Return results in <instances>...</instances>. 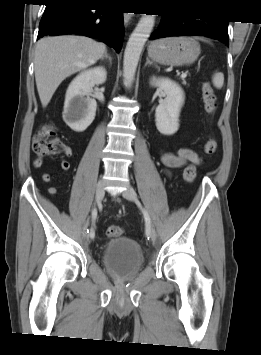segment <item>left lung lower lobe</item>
Here are the masks:
<instances>
[{
    "instance_id": "1",
    "label": "left lung lower lobe",
    "mask_w": 261,
    "mask_h": 355,
    "mask_svg": "<svg viewBox=\"0 0 261 355\" xmlns=\"http://www.w3.org/2000/svg\"><path fill=\"white\" fill-rule=\"evenodd\" d=\"M228 21L224 19H198L176 15H167L162 19L159 28L152 33L151 39L170 36L195 35L207 36L229 44Z\"/></svg>"
}]
</instances>
